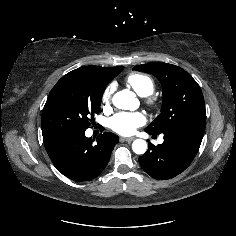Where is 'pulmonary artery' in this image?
<instances>
[{"label": "pulmonary artery", "mask_w": 236, "mask_h": 236, "mask_svg": "<svg viewBox=\"0 0 236 236\" xmlns=\"http://www.w3.org/2000/svg\"><path fill=\"white\" fill-rule=\"evenodd\" d=\"M160 141L162 142V141H163V139L161 138V139H160Z\"/></svg>", "instance_id": "obj_1"}]
</instances>
